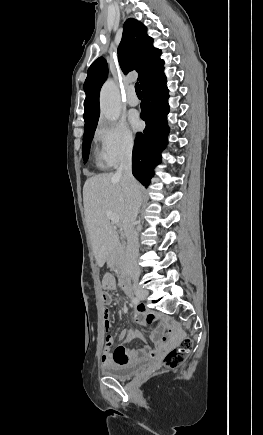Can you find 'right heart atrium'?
<instances>
[{"label":"right heart atrium","mask_w":263,"mask_h":435,"mask_svg":"<svg viewBox=\"0 0 263 435\" xmlns=\"http://www.w3.org/2000/svg\"><path fill=\"white\" fill-rule=\"evenodd\" d=\"M95 137L100 143L101 155L109 166H116L128 158L134 149L135 139L125 121L100 120Z\"/></svg>","instance_id":"right-heart-atrium-1"}]
</instances>
